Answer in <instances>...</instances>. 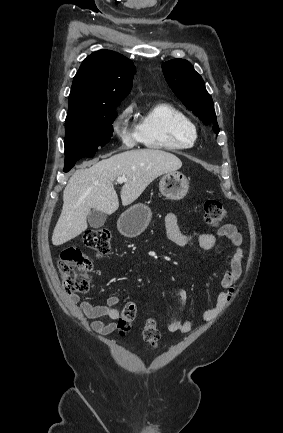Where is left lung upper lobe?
I'll list each match as a JSON object with an SVG mask.
<instances>
[{"label":"left lung upper lobe","instance_id":"1","mask_svg":"<svg viewBox=\"0 0 283 433\" xmlns=\"http://www.w3.org/2000/svg\"><path fill=\"white\" fill-rule=\"evenodd\" d=\"M165 79L183 104L205 125L213 124L219 132L212 97L208 94L202 77L184 59H173L162 64Z\"/></svg>","mask_w":283,"mask_h":433}]
</instances>
